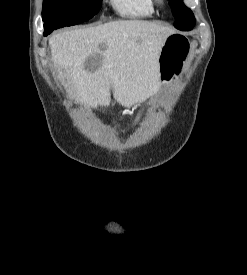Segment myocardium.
<instances>
[{"label":"myocardium","mask_w":247,"mask_h":275,"mask_svg":"<svg viewBox=\"0 0 247 275\" xmlns=\"http://www.w3.org/2000/svg\"><path fill=\"white\" fill-rule=\"evenodd\" d=\"M157 3H162L163 0H155Z\"/></svg>","instance_id":"obj_1"}]
</instances>
